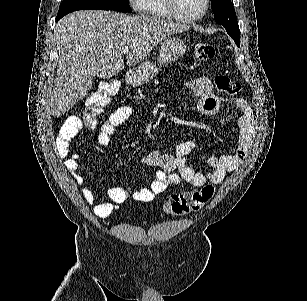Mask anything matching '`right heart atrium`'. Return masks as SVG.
I'll list each match as a JSON object with an SVG mask.
<instances>
[{
    "label": "right heart atrium",
    "instance_id": "1",
    "mask_svg": "<svg viewBox=\"0 0 307 301\" xmlns=\"http://www.w3.org/2000/svg\"><path fill=\"white\" fill-rule=\"evenodd\" d=\"M132 4H138L137 10L138 11H149L150 5L145 4L146 0H131Z\"/></svg>",
    "mask_w": 307,
    "mask_h": 301
}]
</instances>
